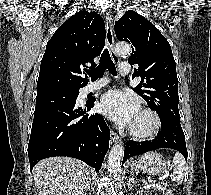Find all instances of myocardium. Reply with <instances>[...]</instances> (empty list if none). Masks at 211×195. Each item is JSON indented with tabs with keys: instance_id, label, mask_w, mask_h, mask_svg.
I'll use <instances>...</instances> for the list:
<instances>
[{
	"instance_id": "obj_1",
	"label": "myocardium",
	"mask_w": 211,
	"mask_h": 195,
	"mask_svg": "<svg viewBox=\"0 0 211 195\" xmlns=\"http://www.w3.org/2000/svg\"><path fill=\"white\" fill-rule=\"evenodd\" d=\"M140 113L146 114L152 119V126L146 131H140L130 126V135L139 140H147L155 137L162 127V121L159 114L151 108H143L140 110Z\"/></svg>"
}]
</instances>
